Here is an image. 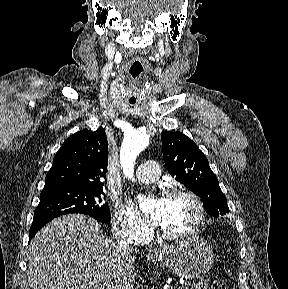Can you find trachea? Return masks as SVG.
Returning <instances> with one entry per match:
<instances>
[{"label":"trachea","instance_id":"1","mask_svg":"<svg viewBox=\"0 0 288 289\" xmlns=\"http://www.w3.org/2000/svg\"><path fill=\"white\" fill-rule=\"evenodd\" d=\"M144 75V67L139 59H135L128 71L127 98L135 103L139 97V83Z\"/></svg>","mask_w":288,"mask_h":289}]
</instances>
